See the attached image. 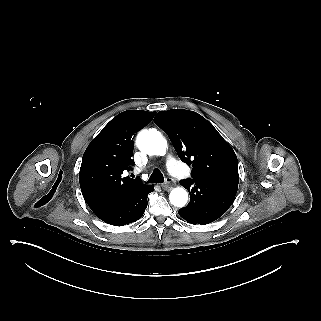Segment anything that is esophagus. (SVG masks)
Returning a JSON list of instances; mask_svg holds the SVG:
<instances>
[{
	"instance_id": "esophagus-1",
	"label": "esophagus",
	"mask_w": 321,
	"mask_h": 321,
	"mask_svg": "<svg viewBox=\"0 0 321 321\" xmlns=\"http://www.w3.org/2000/svg\"><path fill=\"white\" fill-rule=\"evenodd\" d=\"M168 180L170 181V182H167V183H164V184H162L161 185V187H162V189L164 190V191H169V190H171L173 187H174V180L173 179H171V178H168Z\"/></svg>"
}]
</instances>
